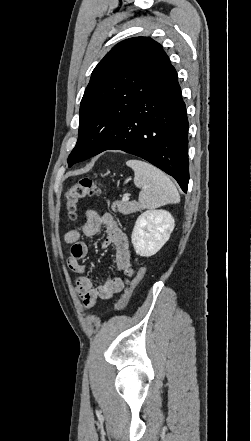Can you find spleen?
<instances>
[{
  "instance_id": "obj_1",
  "label": "spleen",
  "mask_w": 251,
  "mask_h": 441,
  "mask_svg": "<svg viewBox=\"0 0 251 441\" xmlns=\"http://www.w3.org/2000/svg\"><path fill=\"white\" fill-rule=\"evenodd\" d=\"M126 165L133 169L134 184L141 189L139 202L142 208L153 209L180 201L176 186L163 171L137 159L128 160Z\"/></svg>"
}]
</instances>
